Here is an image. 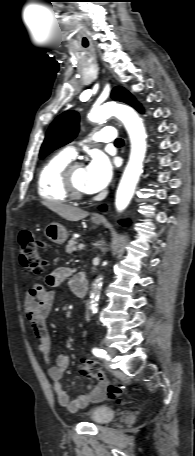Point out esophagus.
<instances>
[{
    "instance_id": "1",
    "label": "esophagus",
    "mask_w": 195,
    "mask_h": 456,
    "mask_svg": "<svg viewBox=\"0 0 195 456\" xmlns=\"http://www.w3.org/2000/svg\"><path fill=\"white\" fill-rule=\"evenodd\" d=\"M93 218L96 219V220H103V216L100 215V214H95V215L93 216Z\"/></svg>"
}]
</instances>
